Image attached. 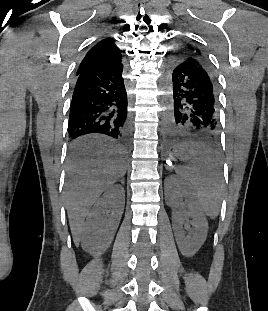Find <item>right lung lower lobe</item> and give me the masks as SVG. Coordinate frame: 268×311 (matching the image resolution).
Segmentation results:
<instances>
[{"label": "right lung lower lobe", "mask_w": 268, "mask_h": 311, "mask_svg": "<svg viewBox=\"0 0 268 311\" xmlns=\"http://www.w3.org/2000/svg\"><path fill=\"white\" fill-rule=\"evenodd\" d=\"M123 64L76 74L70 105V140L98 133L127 145L130 133Z\"/></svg>", "instance_id": "1"}]
</instances>
